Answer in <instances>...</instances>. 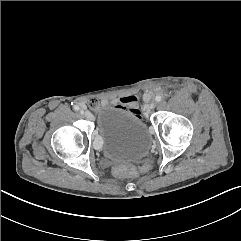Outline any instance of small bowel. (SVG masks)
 I'll list each match as a JSON object with an SVG mask.
<instances>
[{
	"label": "small bowel",
	"mask_w": 241,
	"mask_h": 241,
	"mask_svg": "<svg viewBox=\"0 0 241 241\" xmlns=\"http://www.w3.org/2000/svg\"><path fill=\"white\" fill-rule=\"evenodd\" d=\"M140 97L137 94H130L122 96L115 101V105L123 108L129 112L134 119L139 120L143 117L144 112L141 108L138 107Z\"/></svg>",
	"instance_id": "obj_1"
}]
</instances>
